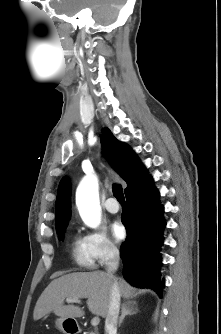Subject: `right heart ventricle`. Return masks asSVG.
<instances>
[{
	"label": "right heart ventricle",
	"mask_w": 221,
	"mask_h": 334,
	"mask_svg": "<svg viewBox=\"0 0 221 334\" xmlns=\"http://www.w3.org/2000/svg\"><path fill=\"white\" fill-rule=\"evenodd\" d=\"M71 256L74 263L82 268L94 267V260L86 243L85 237L74 235L71 240Z\"/></svg>",
	"instance_id": "e07e8e85"
}]
</instances>
